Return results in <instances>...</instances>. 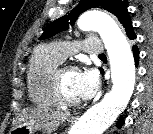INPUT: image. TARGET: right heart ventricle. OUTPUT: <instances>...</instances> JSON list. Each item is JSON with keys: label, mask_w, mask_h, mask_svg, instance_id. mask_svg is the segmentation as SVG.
Segmentation results:
<instances>
[{"label": "right heart ventricle", "mask_w": 153, "mask_h": 134, "mask_svg": "<svg viewBox=\"0 0 153 134\" xmlns=\"http://www.w3.org/2000/svg\"><path fill=\"white\" fill-rule=\"evenodd\" d=\"M61 62L50 46H38L33 51L27 70V88L29 98L35 105H61L53 88V73Z\"/></svg>", "instance_id": "e07e8e85"}]
</instances>
